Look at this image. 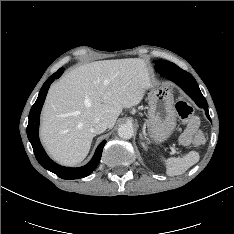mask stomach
<instances>
[{
	"label": "stomach",
	"instance_id": "1",
	"mask_svg": "<svg viewBox=\"0 0 234 234\" xmlns=\"http://www.w3.org/2000/svg\"><path fill=\"white\" fill-rule=\"evenodd\" d=\"M149 111L146 121L149 135L156 142L166 141L176 127V109L171 87H152L148 94Z\"/></svg>",
	"mask_w": 234,
	"mask_h": 234
}]
</instances>
